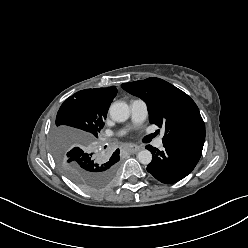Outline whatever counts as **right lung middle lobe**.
<instances>
[{"mask_svg": "<svg viewBox=\"0 0 248 248\" xmlns=\"http://www.w3.org/2000/svg\"><path fill=\"white\" fill-rule=\"evenodd\" d=\"M107 112L92 108L79 91L67 98L61 105L57 117L56 126L67 125L80 129L89 140L98 138V134L104 127V119ZM70 134L59 130L54 146L55 157L63 172L77 185L87 191H98L107 187L114 179L118 170V157L97 156L84 147H74L66 153L61 141H66Z\"/></svg>", "mask_w": 248, "mask_h": 248, "instance_id": "dd1d6c3e", "label": "right lung middle lobe"}]
</instances>
